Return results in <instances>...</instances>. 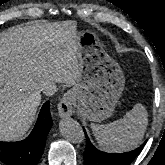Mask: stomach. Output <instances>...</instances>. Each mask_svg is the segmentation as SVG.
<instances>
[{
	"label": "stomach",
	"mask_w": 165,
	"mask_h": 165,
	"mask_svg": "<svg viewBox=\"0 0 165 165\" xmlns=\"http://www.w3.org/2000/svg\"><path fill=\"white\" fill-rule=\"evenodd\" d=\"M84 75L73 88L80 112L91 121H102L114 112L124 90V75L119 64L102 48L96 34L90 30L76 34ZM94 43L89 44L90 40ZM95 46H99L100 49ZM103 53V57L101 56ZM97 56V59H94ZM89 60L83 62L82 60Z\"/></svg>",
	"instance_id": "0dacf381"
}]
</instances>
